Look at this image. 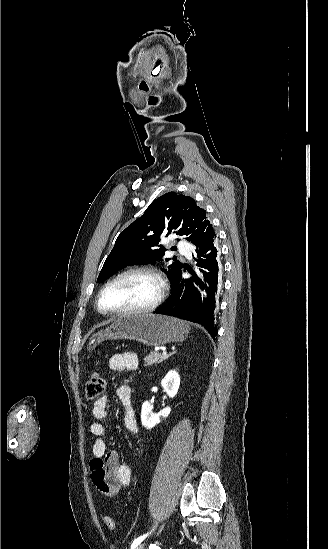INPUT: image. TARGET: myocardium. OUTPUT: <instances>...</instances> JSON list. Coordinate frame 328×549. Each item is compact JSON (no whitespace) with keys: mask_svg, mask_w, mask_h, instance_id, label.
Instances as JSON below:
<instances>
[{"mask_svg":"<svg viewBox=\"0 0 328 549\" xmlns=\"http://www.w3.org/2000/svg\"><path fill=\"white\" fill-rule=\"evenodd\" d=\"M158 268L159 267L157 265L150 264V263H133L125 266L122 270H120L117 274H115L111 279H109L101 288L97 297V310L102 315L110 318H125L130 316H137V315H147L155 312L159 308L160 304L162 303L167 291L166 281L162 276V274L158 271ZM131 272H142L151 276L158 284V292L156 297L150 303L142 307L131 308V309L122 310V311H113L105 308L103 306V296L106 290L113 283L119 280L121 277Z\"/></svg>","mask_w":328,"mask_h":549,"instance_id":"myocardium-1","label":"myocardium"}]
</instances>
